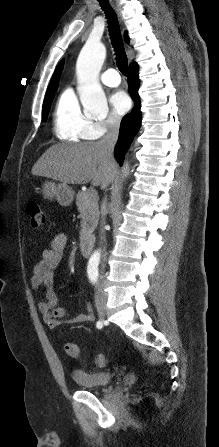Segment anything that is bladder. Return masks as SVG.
Instances as JSON below:
<instances>
[{
  "mask_svg": "<svg viewBox=\"0 0 219 447\" xmlns=\"http://www.w3.org/2000/svg\"><path fill=\"white\" fill-rule=\"evenodd\" d=\"M70 375L82 390H97L108 386L112 380V374L109 372H87L73 369Z\"/></svg>",
  "mask_w": 219,
  "mask_h": 447,
  "instance_id": "31cf9c89",
  "label": "bladder"
}]
</instances>
